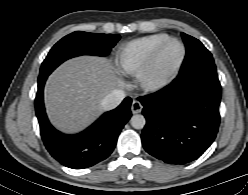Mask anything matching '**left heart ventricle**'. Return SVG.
I'll list each match as a JSON object with an SVG mask.
<instances>
[{"instance_id":"1","label":"left heart ventricle","mask_w":248,"mask_h":195,"mask_svg":"<svg viewBox=\"0 0 248 195\" xmlns=\"http://www.w3.org/2000/svg\"><path fill=\"white\" fill-rule=\"evenodd\" d=\"M181 55V46L177 42H172L165 49L160 60V71L164 72L176 64Z\"/></svg>"}]
</instances>
